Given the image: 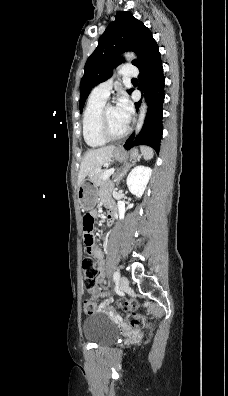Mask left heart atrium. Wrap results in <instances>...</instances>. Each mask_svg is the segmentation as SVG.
<instances>
[{
    "instance_id": "39dd6f15",
    "label": "left heart atrium",
    "mask_w": 228,
    "mask_h": 396,
    "mask_svg": "<svg viewBox=\"0 0 228 396\" xmlns=\"http://www.w3.org/2000/svg\"><path fill=\"white\" fill-rule=\"evenodd\" d=\"M116 109L122 121L127 124L132 115V105L126 96L119 98Z\"/></svg>"
}]
</instances>
